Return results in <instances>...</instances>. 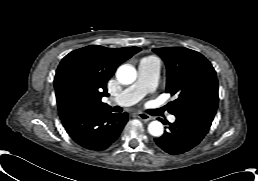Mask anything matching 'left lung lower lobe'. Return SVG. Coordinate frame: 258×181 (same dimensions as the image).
Segmentation results:
<instances>
[{"instance_id": "obj_1", "label": "left lung lower lobe", "mask_w": 258, "mask_h": 181, "mask_svg": "<svg viewBox=\"0 0 258 181\" xmlns=\"http://www.w3.org/2000/svg\"><path fill=\"white\" fill-rule=\"evenodd\" d=\"M175 116L176 121L170 124L169 131L154 139L158 147L172 155L182 154L196 146L207 134L213 121L212 117L197 114Z\"/></svg>"}]
</instances>
